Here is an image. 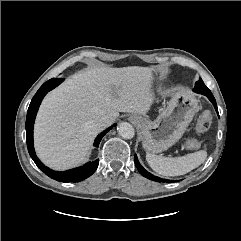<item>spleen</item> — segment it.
I'll use <instances>...</instances> for the list:
<instances>
[{
  "mask_svg": "<svg viewBox=\"0 0 241 241\" xmlns=\"http://www.w3.org/2000/svg\"><path fill=\"white\" fill-rule=\"evenodd\" d=\"M207 157V152L200 150L185 156L167 158L152 153H146L149 166L162 176H180L201 165Z\"/></svg>",
  "mask_w": 241,
  "mask_h": 241,
  "instance_id": "obj_1",
  "label": "spleen"
}]
</instances>
